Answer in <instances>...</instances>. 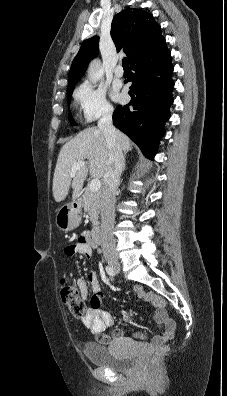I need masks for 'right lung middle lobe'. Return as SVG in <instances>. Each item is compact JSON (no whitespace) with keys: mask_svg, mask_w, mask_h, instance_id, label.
<instances>
[{"mask_svg":"<svg viewBox=\"0 0 227 396\" xmlns=\"http://www.w3.org/2000/svg\"><path fill=\"white\" fill-rule=\"evenodd\" d=\"M73 89H74V88H72V89H70V90L67 91V101H68V104L70 103V99H71V96H72V93H73ZM69 121L71 122L72 125H75L74 120H73L71 114H69Z\"/></svg>","mask_w":227,"mask_h":396,"instance_id":"1","label":"right lung middle lobe"}]
</instances>
